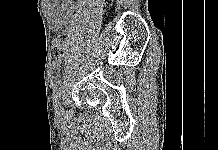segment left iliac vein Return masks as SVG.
Segmentation results:
<instances>
[{
  "label": "left iliac vein",
  "mask_w": 218,
  "mask_h": 150,
  "mask_svg": "<svg viewBox=\"0 0 218 150\" xmlns=\"http://www.w3.org/2000/svg\"><path fill=\"white\" fill-rule=\"evenodd\" d=\"M54 111L56 116H61L63 114V108L60 104V101L56 102Z\"/></svg>",
  "instance_id": "4c4485c4"
}]
</instances>
